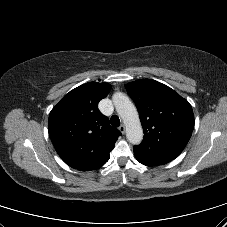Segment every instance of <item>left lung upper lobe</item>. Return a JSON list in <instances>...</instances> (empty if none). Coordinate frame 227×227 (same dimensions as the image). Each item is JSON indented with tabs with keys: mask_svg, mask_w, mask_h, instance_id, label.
Wrapping results in <instances>:
<instances>
[{
	"mask_svg": "<svg viewBox=\"0 0 227 227\" xmlns=\"http://www.w3.org/2000/svg\"><path fill=\"white\" fill-rule=\"evenodd\" d=\"M144 131L140 145L148 155L175 159L187 145L194 129V114L187 100L170 87L151 79L126 84Z\"/></svg>",
	"mask_w": 227,
	"mask_h": 227,
	"instance_id": "5c2ea615",
	"label": "left lung upper lobe"
}]
</instances>
